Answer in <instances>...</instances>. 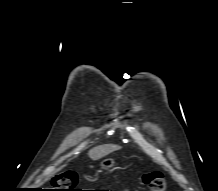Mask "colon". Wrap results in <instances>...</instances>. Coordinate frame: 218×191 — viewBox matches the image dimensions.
Returning a JSON list of instances; mask_svg holds the SVG:
<instances>
[{"instance_id":"5ec220e1","label":"colon","mask_w":218,"mask_h":191,"mask_svg":"<svg viewBox=\"0 0 218 191\" xmlns=\"http://www.w3.org/2000/svg\"><path fill=\"white\" fill-rule=\"evenodd\" d=\"M57 191H80L76 186L78 176L72 171L61 173L53 179ZM143 184L147 191H165L166 180L161 172L152 171L143 175Z\"/></svg>"}]
</instances>
